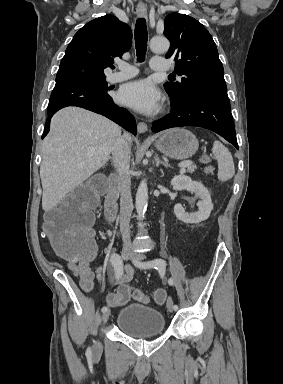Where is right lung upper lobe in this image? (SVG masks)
<instances>
[{"label": "right lung upper lobe", "instance_id": "cb5924a9", "mask_svg": "<svg viewBox=\"0 0 283 384\" xmlns=\"http://www.w3.org/2000/svg\"><path fill=\"white\" fill-rule=\"evenodd\" d=\"M131 40L130 27L112 15L88 22L68 45L55 88L105 81L103 70L130 49Z\"/></svg>", "mask_w": 283, "mask_h": 384}]
</instances>
